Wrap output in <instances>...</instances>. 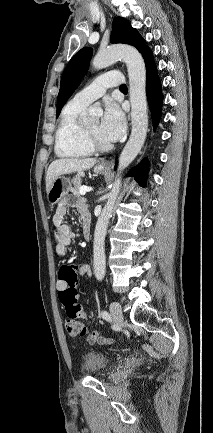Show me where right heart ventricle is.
Returning <instances> with one entry per match:
<instances>
[{
  "mask_svg": "<svg viewBox=\"0 0 213 433\" xmlns=\"http://www.w3.org/2000/svg\"><path fill=\"white\" fill-rule=\"evenodd\" d=\"M85 107L69 102L63 109L55 135V152L60 157L79 158L93 154L78 118Z\"/></svg>",
  "mask_w": 213,
  "mask_h": 433,
  "instance_id": "right-heart-ventricle-1",
  "label": "right heart ventricle"
}]
</instances>
